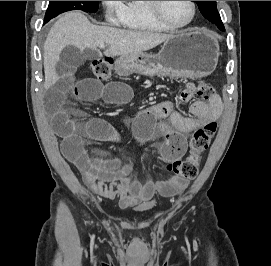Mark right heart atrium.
<instances>
[{
    "label": "right heart atrium",
    "instance_id": "obj_1",
    "mask_svg": "<svg viewBox=\"0 0 271 266\" xmlns=\"http://www.w3.org/2000/svg\"><path fill=\"white\" fill-rule=\"evenodd\" d=\"M102 4L106 17L112 22H117L122 9L123 1H102Z\"/></svg>",
    "mask_w": 271,
    "mask_h": 266
}]
</instances>
